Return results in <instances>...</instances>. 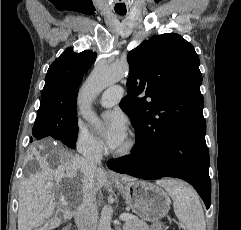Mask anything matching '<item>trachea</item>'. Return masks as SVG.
<instances>
[{"label":"trachea","mask_w":241,"mask_h":230,"mask_svg":"<svg viewBox=\"0 0 241 230\" xmlns=\"http://www.w3.org/2000/svg\"><path fill=\"white\" fill-rule=\"evenodd\" d=\"M119 15H124L125 13H118Z\"/></svg>","instance_id":"trachea-1"}]
</instances>
